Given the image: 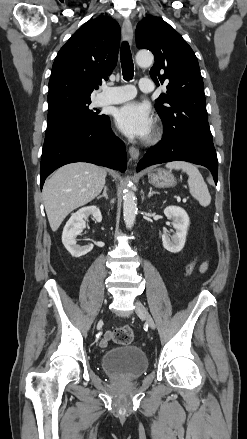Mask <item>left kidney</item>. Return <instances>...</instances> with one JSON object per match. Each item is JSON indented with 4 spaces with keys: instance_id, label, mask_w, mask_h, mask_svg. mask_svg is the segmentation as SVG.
Listing matches in <instances>:
<instances>
[{
    "instance_id": "1",
    "label": "left kidney",
    "mask_w": 247,
    "mask_h": 439,
    "mask_svg": "<svg viewBox=\"0 0 247 439\" xmlns=\"http://www.w3.org/2000/svg\"><path fill=\"white\" fill-rule=\"evenodd\" d=\"M164 214L172 220V226L176 232L171 236L168 233L162 235L163 247L172 253L180 252L185 245L187 229L190 221L186 211L177 206H168L164 209Z\"/></svg>"
}]
</instances>
